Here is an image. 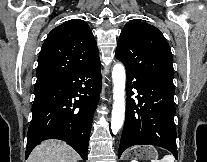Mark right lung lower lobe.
Masks as SVG:
<instances>
[{"mask_svg":"<svg viewBox=\"0 0 207 162\" xmlns=\"http://www.w3.org/2000/svg\"><path fill=\"white\" fill-rule=\"evenodd\" d=\"M101 91L100 62L35 84L25 157L46 139L66 141L87 160L93 114ZM79 97L73 101L72 98Z\"/></svg>","mask_w":207,"mask_h":162,"instance_id":"1","label":"right lung lower lobe"}]
</instances>
